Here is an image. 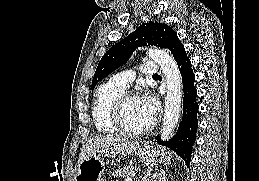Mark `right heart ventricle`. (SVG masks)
Here are the masks:
<instances>
[{"mask_svg":"<svg viewBox=\"0 0 259 181\" xmlns=\"http://www.w3.org/2000/svg\"><path fill=\"white\" fill-rule=\"evenodd\" d=\"M125 89H122L112 82L102 83L95 92L91 108V115L96 129L104 134H119L113 115V108L116 99Z\"/></svg>","mask_w":259,"mask_h":181,"instance_id":"right-heart-ventricle-1","label":"right heart ventricle"}]
</instances>
